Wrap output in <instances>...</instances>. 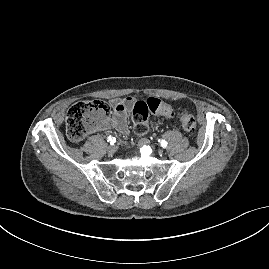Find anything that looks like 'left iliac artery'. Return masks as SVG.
<instances>
[{"label":"left iliac artery","instance_id":"44dca946","mask_svg":"<svg viewBox=\"0 0 269 269\" xmlns=\"http://www.w3.org/2000/svg\"><path fill=\"white\" fill-rule=\"evenodd\" d=\"M159 143L163 148L167 147V142L165 140H159Z\"/></svg>","mask_w":269,"mask_h":269}]
</instances>
